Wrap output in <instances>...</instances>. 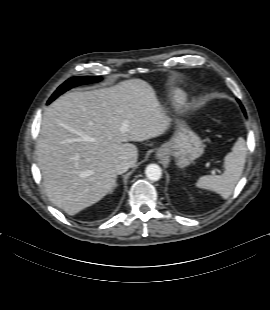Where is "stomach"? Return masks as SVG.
I'll use <instances>...</instances> for the list:
<instances>
[{
    "instance_id": "stomach-1",
    "label": "stomach",
    "mask_w": 270,
    "mask_h": 310,
    "mask_svg": "<svg viewBox=\"0 0 270 310\" xmlns=\"http://www.w3.org/2000/svg\"><path fill=\"white\" fill-rule=\"evenodd\" d=\"M201 138L184 121H177L172 138L158 149V157L173 156L176 164L184 168L204 153Z\"/></svg>"
}]
</instances>
